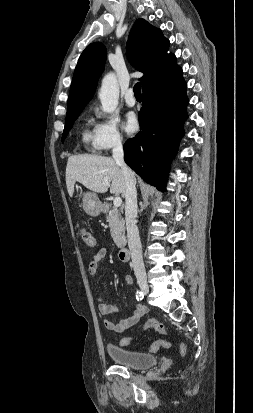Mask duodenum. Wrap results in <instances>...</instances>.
<instances>
[{
  "label": "duodenum",
  "mask_w": 253,
  "mask_h": 413,
  "mask_svg": "<svg viewBox=\"0 0 253 413\" xmlns=\"http://www.w3.org/2000/svg\"><path fill=\"white\" fill-rule=\"evenodd\" d=\"M118 256H119V259L121 261H124V262L128 261L129 258H130V250H129L128 246H126V245L121 246V248L119 250V253H118Z\"/></svg>",
  "instance_id": "duodenum-1"
}]
</instances>
